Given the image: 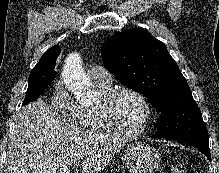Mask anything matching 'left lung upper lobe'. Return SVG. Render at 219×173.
<instances>
[{
    "label": "left lung upper lobe",
    "mask_w": 219,
    "mask_h": 173,
    "mask_svg": "<svg viewBox=\"0 0 219 173\" xmlns=\"http://www.w3.org/2000/svg\"><path fill=\"white\" fill-rule=\"evenodd\" d=\"M101 51L104 66L162 113L153 137L208 140L201 111L164 43L142 29H131L111 36Z\"/></svg>",
    "instance_id": "left-lung-upper-lobe-1"
}]
</instances>
